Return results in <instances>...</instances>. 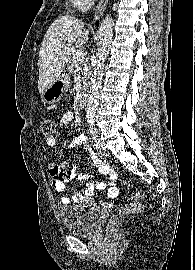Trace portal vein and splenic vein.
Returning a JSON list of instances; mask_svg holds the SVG:
<instances>
[{
  "label": "portal vein and splenic vein",
  "mask_w": 195,
  "mask_h": 270,
  "mask_svg": "<svg viewBox=\"0 0 195 270\" xmlns=\"http://www.w3.org/2000/svg\"><path fill=\"white\" fill-rule=\"evenodd\" d=\"M74 58L77 60V61H82L85 59V54L82 52V51H77L75 52L74 54Z\"/></svg>",
  "instance_id": "obj_1"
}]
</instances>
